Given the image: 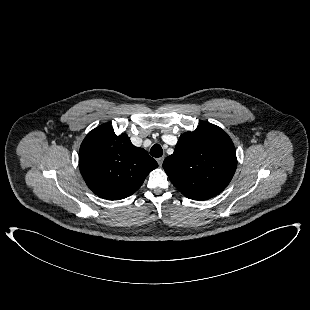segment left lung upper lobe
<instances>
[{
	"mask_svg": "<svg viewBox=\"0 0 310 310\" xmlns=\"http://www.w3.org/2000/svg\"><path fill=\"white\" fill-rule=\"evenodd\" d=\"M237 166L234 144L220 127L202 121L182 134L175 151L163 162L173 185L186 197L206 200L220 194Z\"/></svg>",
	"mask_w": 310,
	"mask_h": 310,
	"instance_id": "1",
	"label": "left lung upper lobe"
}]
</instances>
